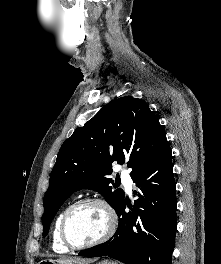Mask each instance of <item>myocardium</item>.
<instances>
[{
	"label": "myocardium",
	"instance_id": "obj_1",
	"mask_svg": "<svg viewBox=\"0 0 221 264\" xmlns=\"http://www.w3.org/2000/svg\"><path fill=\"white\" fill-rule=\"evenodd\" d=\"M85 204H94L99 206L105 213L107 217V228L105 233L98 238L97 240L87 243V244H81V245H76L72 243L68 237L67 234V224H68V219L71 215V213L78 207L85 205ZM117 228V215L114 210V208L104 199L99 198V197H86L83 199H80L76 202H74L72 205H70L65 212L63 213L61 222H60V238L62 243L71 250H83V249H88L92 248L98 245H101L108 241L113 234L115 233Z\"/></svg>",
	"mask_w": 221,
	"mask_h": 264
}]
</instances>
